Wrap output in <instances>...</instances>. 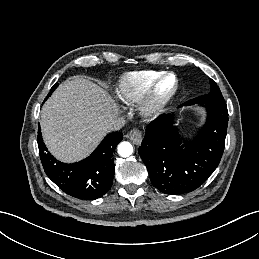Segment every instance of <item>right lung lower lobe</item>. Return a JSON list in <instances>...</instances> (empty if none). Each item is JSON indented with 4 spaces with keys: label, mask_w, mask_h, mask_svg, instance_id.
<instances>
[{
    "label": "right lung lower lobe",
    "mask_w": 259,
    "mask_h": 259,
    "mask_svg": "<svg viewBox=\"0 0 259 259\" xmlns=\"http://www.w3.org/2000/svg\"><path fill=\"white\" fill-rule=\"evenodd\" d=\"M122 139L121 132L111 133L88 158L78 163L64 164L48 152L40 129L37 136L40 159L46 175L62 191L83 200L100 198L111 188L115 170L113 151Z\"/></svg>",
    "instance_id": "98d812e1"
}]
</instances>
